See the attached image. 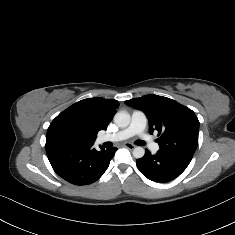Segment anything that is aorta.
Wrapping results in <instances>:
<instances>
[{"mask_svg":"<svg viewBox=\"0 0 235 235\" xmlns=\"http://www.w3.org/2000/svg\"><path fill=\"white\" fill-rule=\"evenodd\" d=\"M131 117L127 111H119L114 116V123L118 127H127L130 124ZM145 154V149L142 146H137L133 149V156L135 158H141Z\"/></svg>","mask_w":235,"mask_h":235,"instance_id":"1","label":"aorta"}]
</instances>
